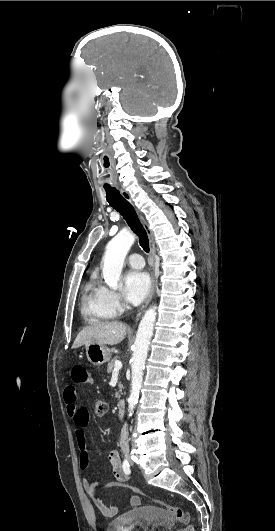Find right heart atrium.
Masks as SVG:
<instances>
[{
    "label": "right heart atrium",
    "instance_id": "1",
    "mask_svg": "<svg viewBox=\"0 0 275 531\" xmlns=\"http://www.w3.org/2000/svg\"><path fill=\"white\" fill-rule=\"evenodd\" d=\"M102 289V303L112 317L120 316L126 308V304L120 293L105 286Z\"/></svg>",
    "mask_w": 275,
    "mask_h": 531
}]
</instances>
